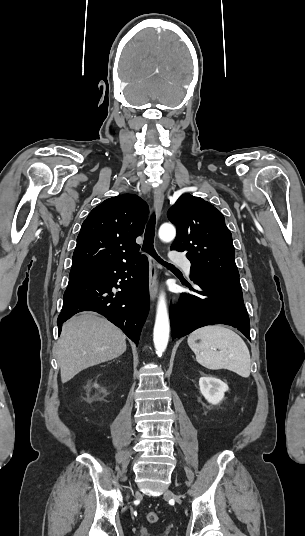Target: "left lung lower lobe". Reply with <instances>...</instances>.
Instances as JSON below:
<instances>
[{"label": "left lung lower lobe", "mask_w": 305, "mask_h": 536, "mask_svg": "<svg viewBox=\"0 0 305 536\" xmlns=\"http://www.w3.org/2000/svg\"><path fill=\"white\" fill-rule=\"evenodd\" d=\"M191 279L200 287V291L190 287L196 294H181L179 304L170 309L172 337L181 338L206 325L226 324L237 328L251 340L250 321L240 281Z\"/></svg>", "instance_id": "0a47b994"}]
</instances>
